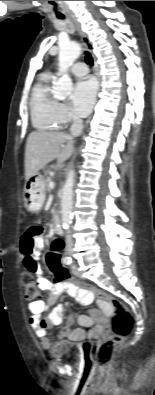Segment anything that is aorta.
I'll return each mask as SVG.
<instances>
[{"mask_svg":"<svg viewBox=\"0 0 155 395\" xmlns=\"http://www.w3.org/2000/svg\"><path fill=\"white\" fill-rule=\"evenodd\" d=\"M80 53L81 47L77 43L69 42L60 46L58 66L61 77L55 82L53 87V95L58 100H64L73 90V83L68 74V69ZM74 180L75 172L74 170H70L61 193L62 227L64 229H68L72 223Z\"/></svg>","mask_w":155,"mask_h":395,"instance_id":"aorta-1","label":"aorta"}]
</instances>
